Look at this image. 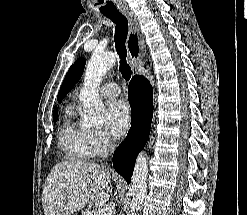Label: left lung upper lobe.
Instances as JSON below:
<instances>
[{"instance_id":"obj_1","label":"left lung upper lobe","mask_w":247,"mask_h":215,"mask_svg":"<svg viewBox=\"0 0 247 215\" xmlns=\"http://www.w3.org/2000/svg\"><path fill=\"white\" fill-rule=\"evenodd\" d=\"M85 59L79 58L76 62L70 67L67 72L63 83L61 85L60 91L58 93L57 99L58 102H61L66 94L75 86V84L79 81L83 74V70L85 67Z\"/></svg>"}]
</instances>
